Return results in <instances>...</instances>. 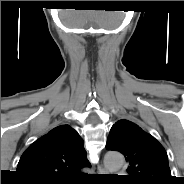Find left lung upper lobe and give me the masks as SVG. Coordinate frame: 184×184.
I'll return each mask as SVG.
<instances>
[{"instance_id": "obj_1", "label": "left lung upper lobe", "mask_w": 184, "mask_h": 184, "mask_svg": "<svg viewBox=\"0 0 184 184\" xmlns=\"http://www.w3.org/2000/svg\"><path fill=\"white\" fill-rule=\"evenodd\" d=\"M106 148L125 156L129 183L170 184L173 181L164 147L131 121L122 119L112 126Z\"/></svg>"}]
</instances>
